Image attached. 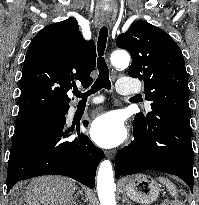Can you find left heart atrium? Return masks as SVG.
<instances>
[{"label": "left heart atrium", "instance_id": "obj_1", "mask_svg": "<svg viewBox=\"0 0 199 205\" xmlns=\"http://www.w3.org/2000/svg\"><path fill=\"white\" fill-rule=\"evenodd\" d=\"M91 138L98 145L111 148L126 138V127L120 114L107 112L94 119L89 130Z\"/></svg>", "mask_w": 199, "mask_h": 205}]
</instances>
